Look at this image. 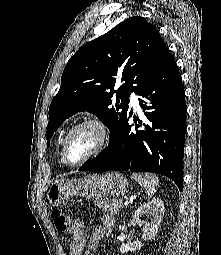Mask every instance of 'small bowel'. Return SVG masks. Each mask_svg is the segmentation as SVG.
<instances>
[{"mask_svg":"<svg viewBox=\"0 0 221 255\" xmlns=\"http://www.w3.org/2000/svg\"><path fill=\"white\" fill-rule=\"evenodd\" d=\"M113 227L114 218L110 215H104L88 239H86L82 229L80 232L72 234L69 255H93L92 252L97 249L99 241L108 236Z\"/></svg>","mask_w":221,"mask_h":255,"instance_id":"small-bowel-1","label":"small bowel"}]
</instances>
